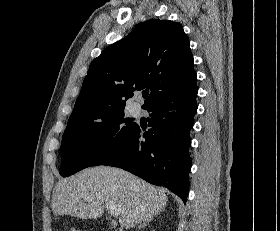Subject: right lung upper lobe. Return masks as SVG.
Instances as JSON below:
<instances>
[{
	"label": "right lung upper lobe",
	"instance_id": "1",
	"mask_svg": "<svg viewBox=\"0 0 280 231\" xmlns=\"http://www.w3.org/2000/svg\"><path fill=\"white\" fill-rule=\"evenodd\" d=\"M190 42L182 25L150 19L94 59L69 118L93 119L124 111L137 90H151L144 109L196 87Z\"/></svg>",
	"mask_w": 280,
	"mask_h": 231
}]
</instances>
